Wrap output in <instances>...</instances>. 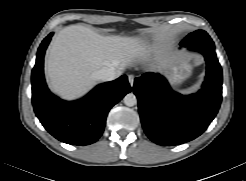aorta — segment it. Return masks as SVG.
<instances>
[{
  "label": "aorta",
  "mask_w": 246,
  "mask_h": 181,
  "mask_svg": "<svg viewBox=\"0 0 246 181\" xmlns=\"http://www.w3.org/2000/svg\"><path fill=\"white\" fill-rule=\"evenodd\" d=\"M123 101H124V104L128 107H132L137 104V98L133 93L126 94Z\"/></svg>",
  "instance_id": "aorta-1"
}]
</instances>
